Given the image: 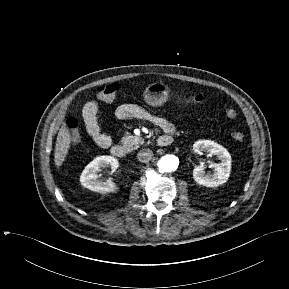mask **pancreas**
Masks as SVG:
<instances>
[{
  "label": "pancreas",
  "instance_id": "1",
  "mask_svg": "<svg viewBox=\"0 0 289 289\" xmlns=\"http://www.w3.org/2000/svg\"><path fill=\"white\" fill-rule=\"evenodd\" d=\"M121 143L128 151H131V150L137 149L140 144H143L144 139H142L139 136L130 135L127 132L125 136L122 138Z\"/></svg>",
  "mask_w": 289,
  "mask_h": 289
}]
</instances>
